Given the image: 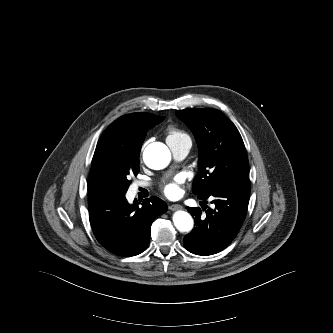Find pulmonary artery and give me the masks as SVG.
Instances as JSON below:
<instances>
[{
  "label": "pulmonary artery",
  "instance_id": "e3ab8cb5",
  "mask_svg": "<svg viewBox=\"0 0 333 333\" xmlns=\"http://www.w3.org/2000/svg\"><path fill=\"white\" fill-rule=\"evenodd\" d=\"M169 146L171 148L174 158L176 160H183L188 155L191 144H169ZM137 185L140 187H148L150 186V183L146 181H140L137 183Z\"/></svg>",
  "mask_w": 333,
  "mask_h": 333
}]
</instances>
